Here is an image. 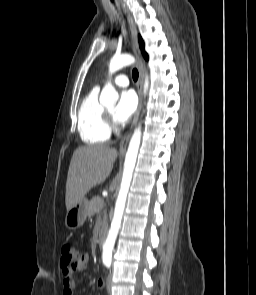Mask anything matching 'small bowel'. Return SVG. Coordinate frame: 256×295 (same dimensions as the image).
I'll use <instances>...</instances> for the list:
<instances>
[{
	"mask_svg": "<svg viewBox=\"0 0 256 295\" xmlns=\"http://www.w3.org/2000/svg\"><path fill=\"white\" fill-rule=\"evenodd\" d=\"M89 256L87 253L82 254L79 257V260L76 266L73 269H62V286H63V295H73L75 288V281L73 279L74 272H81L85 270L88 263ZM95 287L98 290H103L105 288V283L102 279H98L95 282Z\"/></svg>",
	"mask_w": 256,
	"mask_h": 295,
	"instance_id": "small-bowel-1",
	"label": "small bowel"
}]
</instances>
